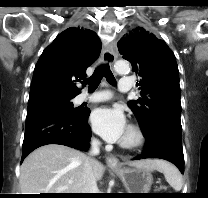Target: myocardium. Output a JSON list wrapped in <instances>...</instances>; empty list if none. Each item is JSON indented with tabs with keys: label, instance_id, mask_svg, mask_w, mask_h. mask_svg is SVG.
Instances as JSON below:
<instances>
[{
	"label": "myocardium",
	"instance_id": "myocardium-1",
	"mask_svg": "<svg viewBox=\"0 0 208 198\" xmlns=\"http://www.w3.org/2000/svg\"><path fill=\"white\" fill-rule=\"evenodd\" d=\"M128 129L132 133V138L129 140H121L120 146L128 150H135L144 146L146 143V135L143 129L137 124H130Z\"/></svg>",
	"mask_w": 208,
	"mask_h": 198
}]
</instances>
